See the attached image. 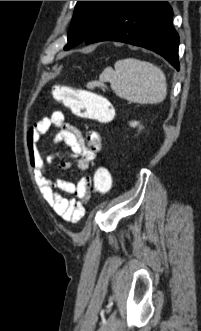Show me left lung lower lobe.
Wrapping results in <instances>:
<instances>
[{
	"mask_svg": "<svg viewBox=\"0 0 201 331\" xmlns=\"http://www.w3.org/2000/svg\"><path fill=\"white\" fill-rule=\"evenodd\" d=\"M172 14L167 1H120L84 42L118 41L144 47L179 70V36Z\"/></svg>",
	"mask_w": 201,
	"mask_h": 331,
	"instance_id": "0a47b994",
	"label": "left lung lower lobe"
}]
</instances>
